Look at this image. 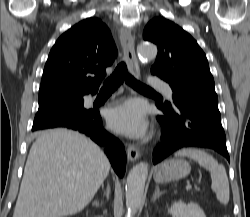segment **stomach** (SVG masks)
Returning a JSON list of instances; mask_svg holds the SVG:
<instances>
[{
    "instance_id": "0dacf381",
    "label": "stomach",
    "mask_w": 250,
    "mask_h": 217,
    "mask_svg": "<svg viewBox=\"0 0 250 217\" xmlns=\"http://www.w3.org/2000/svg\"><path fill=\"white\" fill-rule=\"evenodd\" d=\"M191 171L190 164L183 159H171L158 165L154 171V180L157 183L185 178Z\"/></svg>"
}]
</instances>
